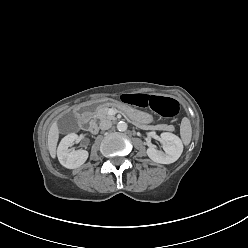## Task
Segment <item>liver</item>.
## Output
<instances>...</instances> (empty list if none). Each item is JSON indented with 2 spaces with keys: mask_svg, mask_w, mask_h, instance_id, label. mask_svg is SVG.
Here are the masks:
<instances>
[{
  "mask_svg": "<svg viewBox=\"0 0 248 248\" xmlns=\"http://www.w3.org/2000/svg\"><path fill=\"white\" fill-rule=\"evenodd\" d=\"M58 139H59V129L57 122H54L51 125L48 133V149L52 158H55L56 156V147H57Z\"/></svg>",
  "mask_w": 248,
  "mask_h": 248,
  "instance_id": "1",
  "label": "liver"
}]
</instances>
